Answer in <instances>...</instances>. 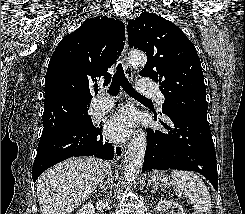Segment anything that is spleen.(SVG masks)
Wrapping results in <instances>:
<instances>
[{
    "label": "spleen",
    "instance_id": "3e777b00",
    "mask_svg": "<svg viewBox=\"0 0 245 214\" xmlns=\"http://www.w3.org/2000/svg\"><path fill=\"white\" fill-rule=\"evenodd\" d=\"M174 179L173 189L178 197H188L196 214H212L210 193L203 180L195 173L183 170H174L171 173Z\"/></svg>",
    "mask_w": 245,
    "mask_h": 214
}]
</instances>
